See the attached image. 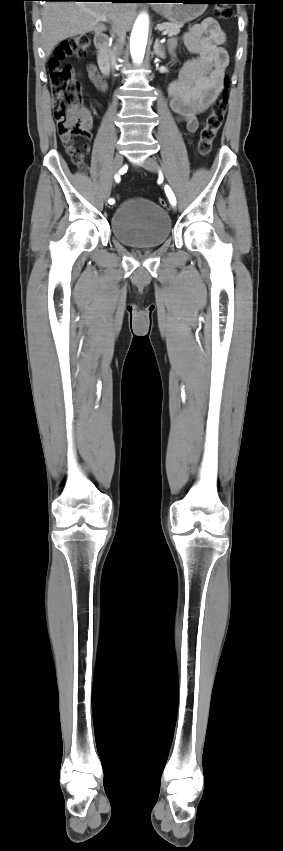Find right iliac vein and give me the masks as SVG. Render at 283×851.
<instances>
[{"instance_id":"right-iliac-vein-1","label":"right iliac vein","mask_w":283,"mask_h":851,"mask_svg":"<svg viewBox=\"0 0 283 851\" xmlns=\"http://www.w3.org/2000/svg\"><path fill=\"white\" fill-rule=\"evenodd\" d=\"M122 164H123V156L120 153H117L115 155V158H114V166H113L114 170L112 171L113 175H116L118 173L117 170H119L121 168ZM111 187H112V181L109 182V184H108V186L105 190V193H104V200L106 202L108 201V199L110 197Z\"/></svg>"}]
</instances>
